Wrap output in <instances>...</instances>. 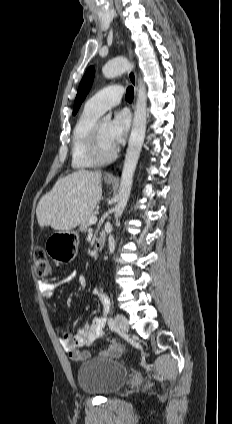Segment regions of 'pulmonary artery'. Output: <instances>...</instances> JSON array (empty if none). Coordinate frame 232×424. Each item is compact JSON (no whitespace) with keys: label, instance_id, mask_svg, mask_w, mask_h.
Returning <instances> with one entry per match:
<instances>
[{"label":"pulmonary artery","instance_id":"1","mask_svg":"<svg viewBox=\"0 0 232 424\" xmlns=\"http://www.w3.org/2000/svg\"><path fill=\"white\" fill-rule=\"evenodd\" d=\"M124 90L119 85H111L103 88L87 102L85 107L99 114L115 107L121 101Z\"/></svg>","mask_w":232,"mask_h":424}]
</instances>
